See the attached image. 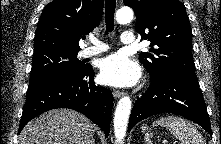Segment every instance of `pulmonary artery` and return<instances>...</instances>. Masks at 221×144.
I'll use <instances>...</instances> for the list:
<instances>
[{
	"instance_id": "pulmonary-artery-1",
	"label": "pulmonary artery",
	"mask_w": 221,
	"mask_h": 144,
	"mask_svg": "<svg viewBox=\"0 0 221 144\" xmlns=\"http://www.w3.org/2000/svg\"><path fill=\"white\" fill-rule=\"evenodd\" d=\"M92 46L85 48L81 52L82 57H92L109 49L108 45L97 40L96 38L90 39ZM121 41L124 44H133L135 42V36L131 31H124L121 35Z\"/></svg>"
}]
</instances>
